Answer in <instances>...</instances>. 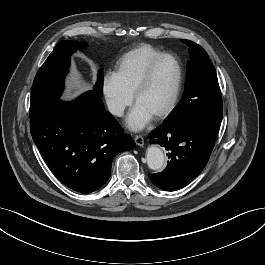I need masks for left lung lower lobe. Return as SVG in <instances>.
Here are the masks:
<instances>
[{"label":"left lung lower lobe","mask_w":265,"mask_h":265,"mask_svg":"<svg viewBox=\"0 0 265 265\" xmlns=\"http://www.w3.org/2000/svg\"><path fill=\"white\" fill-rule=\"evenodd\" d=\"M148 137L169 153L167 167L161 173L148 174L151 182L166 191H176L195 179L206 166L215 139L204 128L189 122L162 124Z\"/></svg>","instance_id":"left-lung-lower-lobe-1"}]
</instances>
